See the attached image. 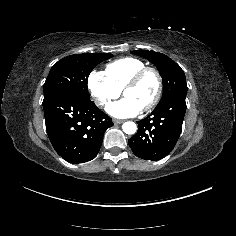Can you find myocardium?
Instances as JSON below:
<instances>
[{
  "mask_svg": "<svg viewBox=\"0 0 236 236\" xmlns=\"http://www.w3.org/2000/svg\"><path fill=\"white\" fill-rule=\"evenodd\" d=\"M146 74H152L156 80V91L152 100L142 109V111H149L157 105L163 92V80L160 72L153 67H144L135 72L124 84L122 94L128 88L135 86Z\"/></svg>",
  "mask_w": 236,
  "mask_h": 236,
  "instance_id": "1",
  "label": "myocardium"
}]
</instances>
